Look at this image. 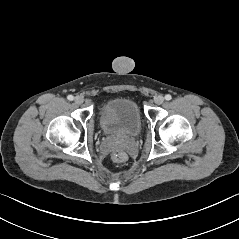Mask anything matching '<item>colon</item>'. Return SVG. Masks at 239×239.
<instances>
[{"instance_id": "colon-1", "label": "colon", "mask_w": 239, "mask_h": 239, "mask_svg": "<svg viewBox=\"0 0 239 239\" xmlns=\"http://www.w3.org/2000/svg\"><path fill=\"white\" fill-rule=\"evenodd\" d=\"M111 159L116 163H124L128 160V155L123 149H116L111 153Z\"/></svg>"}]
</instances>
